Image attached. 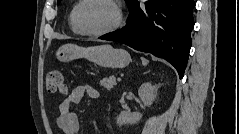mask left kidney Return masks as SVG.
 Masks as SVG:
<instances>
[{
    "instance_id": "1",
    "label": "left kidney",
    "mask_w": 239,
    "mask_h": 134,
    "mask_svg": "<svg viewBox=\"0 0 239 134\" xmlns=\"http://www.w3.org/2000/svg\"><path fill=\"white\" fill-rule=\"evenodd\" d=\"M138 95L144 105L150 106L157 96V89L149 82L143 83L138 89ZM142 118V114L140 112H127L122 111L117 116V125L122 126L124 124H136Z\"/></svg>"
}]
</instances>
